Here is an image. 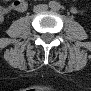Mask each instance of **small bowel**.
Returning <instances> with one entry per match:
<instances>
[{
  "label": "small bowel",
  "instance_id": "obj_1",
  "mask_svg": "<svg viewBox=\"0 0 91 91\" xmlns=\"http://www.w3.org/2000/svg\"><path fill=\"white\" fill-rule=\"evenodd\" d=\"M10 9L23 12L27 9V2L25 0H15L12 2ZM76 8L73 9V12H77Z\"/></svg>",
  "mask_w": 91,
  "mask_h": 91
}]
</instances>
